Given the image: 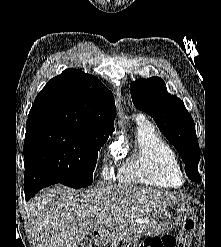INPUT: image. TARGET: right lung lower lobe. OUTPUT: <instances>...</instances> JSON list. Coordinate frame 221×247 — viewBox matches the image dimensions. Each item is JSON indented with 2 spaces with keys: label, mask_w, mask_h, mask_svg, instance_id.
Segmentation results:
<instances>
[{
  "label": "right lung lower lobe",
  "mask_w": 221,
  "mask_h": 247,
  "mask_svg": "<svg viewBox=\"0 0 221 247\" xmlns=\"http://www.w3.org/2000/svg\"><path fill=\"white\" fill-rule=\"evenodd\" d=\"M56 183H59V181L40 169L25 165L24 191L26 200H29L42 188Z\"/></svg>",
  "instance_id": "right-lung-lower-lobe-1"
}]
</instances>
